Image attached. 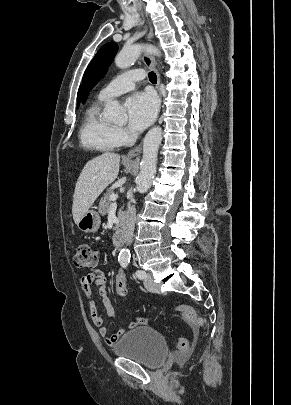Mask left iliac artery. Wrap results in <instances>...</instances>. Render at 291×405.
I'll use <instances>...</instances> for the list:
<instances>
[{"instance_id": "44dca946", "label": "left iliac artery", "mask_w": 291, "mask_h": 405, "mask_svg": "<svg viewBox=\"0 0 291 405\" xmlns=\"http://www.w3.org/2000/svg\"><path fill=\"white\" fill-rule=\"evenodd\" d=\"M128 264H129V261H125V262H121V266L123 267V268H127V266H128ZM135 275H136V277H138L139 279H144L145 278V276H146V273L143 271V270H137L136 272H135Z\"/></svg>"}]
</instances>
